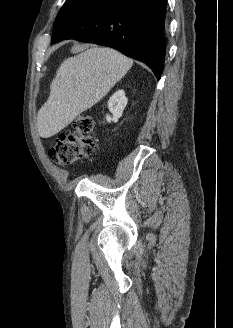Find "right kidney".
<instances>
[{
  "label": "right kidney",
  "instance_id": "obj_1",
  "mask_svg": "<svg viewBox=\"0 0 233 328\" xmlns=\"http://www.w3.org/2000/svg\"><path fill=\"white\" fill-rule=\"evenodd\" d=\"M128 99L125 96L123 90L116 91L108 101L109 111L112 113L113 117L106 115L107 122H117L118 119L122 116L123 110L127 105Z\"/></svg>",
  "mask_w": 233,
  "mask_h": 328
}]
</instances>
